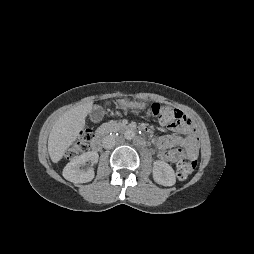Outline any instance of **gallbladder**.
I'll list each match as a JSON object with an SVG mask.
<instances>
[{
	"instance_id": "gallbladder-1",
	"label": "gallbladder",
	"mask_w": 254,
	"mask_h": 254,
	"mask_svg": "<svg viewBox=\"0 0 254 254\" xmlns=\"http://www.w3.org/2000/svg\"><path fill=\"white\" fill-rule=\"evenodd\" d=\"M104 114H105L104 109L99 105H95L93 107L89 117L92 122H99L103 119Z\"/></svg>"
}]
</instances>
